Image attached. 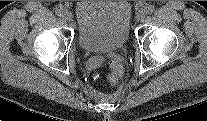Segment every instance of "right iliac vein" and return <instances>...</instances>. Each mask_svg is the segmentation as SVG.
<instances>
[{
  "instance_id": "63e3f726",
  "label": "right iliac vein",
  "mask_w": 207,
  "mask_h": 121,
  "mask_svg": "<svg viewBox=\"0 0 207 121\" xmlns=\"http://www.w3.org/2000/svg\"><path fill=\"white\" fill-rule=\"evenodd\" d=\"M63 18L65 21L70 22L72 20V14L70 11L66 10L63 13Z\"/></svg>"
}]
</instances>
